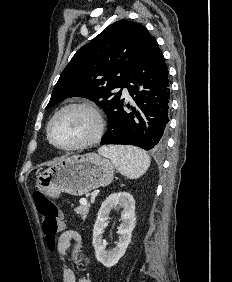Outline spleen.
Wrapping results in <instances>:
<instances>
[{
  "label": "spleen",
  "mask_w": 232,
  "mask_h": 282,
  "mask_svg": "<svg viewBox=\"0 0 232 282\" xmlns=\"http://www.w3.org/2000/svg\"><path fill=\"white\" fill-rule=\"evenodd\" d=\"M99 153L108 157L114 166L125 176L135 179L143 175L150 166V157L133 146H107Z\"/></svg>",
  "instance_id": "3e777b00"
}]
</instances>
